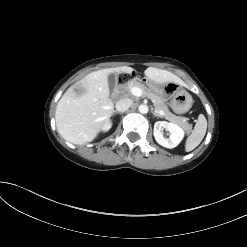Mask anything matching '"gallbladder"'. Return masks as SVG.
<instances>
[{
  "label": "gallbladder",
  "instance_id": "obj_1",
  "mask_svg": "<svg viewBox=\"0 0 247 247\" xmlns=\"http://www.w3.org/2000/svg\"><path fill=\"white\" fill-rule=\"evenodd\" d=\"M108 84L111 90L117 85V76L114 73L108 75Z\"/></svg>",
  "mask_w": 247,
  "mask_h": 247
}]
</instances>
